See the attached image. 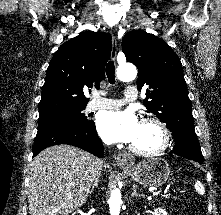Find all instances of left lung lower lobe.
I'll use <instances>...</instances> for the list:
<instances>
[{
  "mask_svg": "<svg viewBox=\"0 0 221 215\" xmlns=\"http://www.w3.org/2000/svg\"><path fill=\"white\" fill-rule=\"evenodd\" d=\"M174 140L175 145L170 154H176L198 163L204 161L197 136L180 135L177 138H174Z\"/></svg>",
  "mask_w": 221,
  "mask_h": 215,
  "instance_id": "obj_1",
  "label": "left lung lower lobe"
}]
</instances>
